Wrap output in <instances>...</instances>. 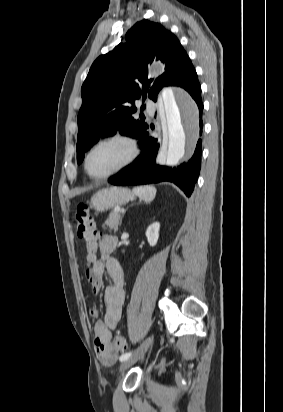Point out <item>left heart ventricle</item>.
Wrapping results in <instances>:
<instances>
[{
	"label": "left heart ventricle",
	"mask_w": 283,
	"mask_h": 412,
	"mask_svg": "<svg viewBox=\"0 0 283 412\" xmlns=\"http://www.w3.org/2000/svg\"><path fill=\"white\" fill-rule=\"evenodd\" d=\"M129 146L122 141H111L98 146L90 155L91 173L101 175L123 163L129 155Z\"/></svg>",
	"instance_id": "obj_1"
}]
</instances>
